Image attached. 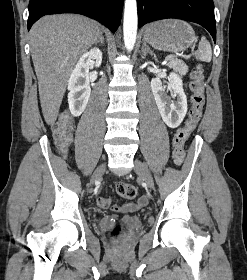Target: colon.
Wrapping results in <instances>:
<instances>
[{
	"instance_id": "1",
	"label": "colon",
	"mask_w": 247,
	"mask_h": 280,
	"mask_svg": "<svg viewBox=\"0 0 247 280\" xmlns=\"http://www.w3.org/2000/svg\"><path fill=\"white\" fill-rule=\"evenodd\" d=\"M191 95V108L189 110L188 118L185 124L180 127L172 140V158L176 165H181L185 159L184 145L191 133L198 125L203 112L205 104L204 95V74L203 69L199 65L191 73L190 79ZM53 136L58 148L64 152L72 142V117L67 112H62L56 123L53 126ZM117 193L125 199H133L137 196V189L130 183L121 182L117 185ZM101 205H104V201H100ZM123 232L121 225H115L110 234L112 238L118 239Z\"/></svg>"
}]
</instances>
